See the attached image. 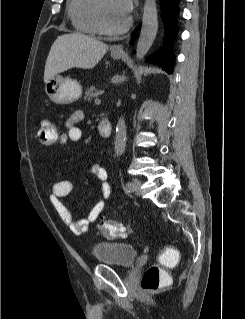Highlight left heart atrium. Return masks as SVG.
<instances>
[{
  "mask_svg": "<svg viewBox=\"0 0 245 319\" xmlns=\"http://www.w3.org/2000/svg\"><path fill=\"white\" fill-rule=\"evenodd\" d=\"M118 12L128 18L134 7V0H114Z\"/></svg>",
  "mask_w": 245,
  "mask_h": 319,
  "instance_id": "left-heart-atrium-1",
  "label": "left heart atrium"
}]
</instances>
